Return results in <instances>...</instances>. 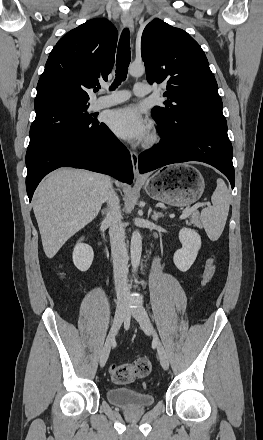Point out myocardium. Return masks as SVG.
Instances as JSON below:
<instances>
[{
	"label": "myocardium",
	"mask_w": 263,
	"mask_h": 440,
	"mask_svg": "<svg viewBox=\"0 0 263 440\" xmlns=\"http://www.w3.org/2000/svg\"><path fill=\"white\" fill-rule=\"evenodd\" d=\"M158 134L155 131H152L150 134L147 135V137L144 140V145L146 147H152L158 142Z\"/></svg>",
	"instance_id": "obj_1"
}]
</instances>
